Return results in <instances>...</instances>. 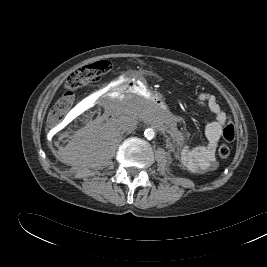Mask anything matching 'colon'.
Instances as JSON below:
<instances>
[{
  "label": "colon",
  "instance_id": "5ec220e1",
  "mask_svg": "<svg viewBox=\"0 0 267 267\" xmlns=\"http://www.w3.org/2000/svg\"><path fill=\"white\" fill-rule=\"evenodd\" d=\"M110 69L108 61H98L89 65L82 66L72 72L66 80V92L55 103L49 114L50 124L59 123L65 114L70 110L74 102L73 91L87 83L95 82ZM225 141L230 142L235 139L236 131L233 123L228 122L222 132ZM231 153L230 147L223 143L218 149L220 158L225 159Z\"/></svg>",
  "mask_w": 267,
  "mask_h": 267
}]
</instances>
